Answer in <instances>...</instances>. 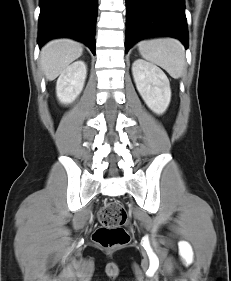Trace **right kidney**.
Wrapping results in <instances>:
<instances>
[{"label":"right kidney","instance_id":"right-kidney-1","mask_svg":"<svg viewBox=\"0 0 231 281\" xmlns=\"http://www.w3.org/2000/svg\"><path fill=\"white\" fill-rule=\"evenodd\" d=\"M87 68L83 61H76L68 66L56 83V95L62 104H71L83 90Z\"/></svg>","mask_w":231,"mask_h":281}]
</instances>
